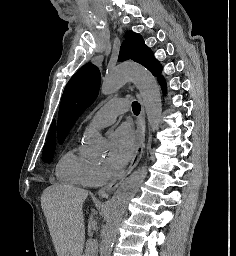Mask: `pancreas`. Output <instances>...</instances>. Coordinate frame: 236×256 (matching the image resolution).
Here are the masks:
<instances>
[{"label": "pancreas", "instance_id": "pancreas-1", "mask_svg": "<svg viewBox=\"0 0 236 256\" xmlns=\"http://www.w3.org/2000/svg\"><path fill=\"white\" fill-rule=\"evenodd\" d=\"M92 222L96 223V220H89V226H91L89 230L90 236H92V234L98 233L96 226H92ZM84 245L85 247H88V250H95L96 242H93V238H86V242Z\"/></svg>", "mask_w": 236, "mask_h": 256}]
</instances>
